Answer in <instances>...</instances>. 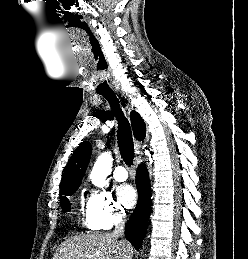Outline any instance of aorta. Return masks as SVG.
I'll list each match as a JSON object with an SVG mask.
<instances>
[{"mask_svg": "<svg viewBox=\"0 0 248 259\" xmlns=\"http://www.w3.org/2000/svg\"><path fill=\"white\" fill-rule=\"evenodd\" d=\"M112 167V156L109 152L102 153L96 160L90 174L92 183L97 187H104L107 183L106 178Z\"/></svg>", "mask_w": 248, "mask_h": 259, "instance_id": "1", "label": "aorta"}]
</instances>
